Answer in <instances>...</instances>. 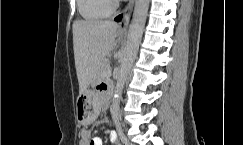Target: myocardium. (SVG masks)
Returning a JSON list of instances; mask_svg holds the SVG:
<instances>
[{"label": "myocardium", "mask_w": 243, "mask_h": 145, "mask_svg": "<svg viewBox=\"0 0 243 145\" xmlns=\"http://www.w3.org/2000/svg\"><path fill=\"white\" fill-rule=\"evenodd\" d=\"M112 7L116 6L117 0H109Z\"/></svg>", "instance_id": "f54148a6"}]
</instances>
